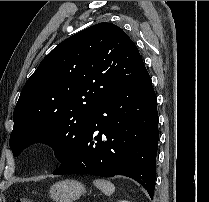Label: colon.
Wrapping results in <instances>:
<instances>
[{
  "label": "colon",
  "mask_w": 209,
  "mask_h": 202,
  "mask_svg": "<svg viewBox=\"0 0 209 202\" xmlns=\"http://www.w3.org/2000/svg\"><path fill=\"white\" fill-rule=\"evenodd\" d=\"M14 202H32V201L28 198H20V199H17L16 201H14Z\"/></svg>",
  "instance_id": "obj_1"
}]
</instances>
